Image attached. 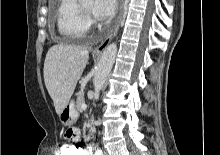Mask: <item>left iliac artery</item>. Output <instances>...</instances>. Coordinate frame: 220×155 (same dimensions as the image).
<instances>
[{
	"mask_svg": "<svg viewBox=\"0 0 220 155\" xmlns=\"http://www.w3.org/2000/svg\"><path fill=\"white\" fill-rule=\"evenodd\" d=\"M95 155H103L102 150L98 149Z\"/></svg>",
	"mask_w": 220,
	"mask_h": 155,
	"instance_id": "1",
	"label": "left iliac artery"
}]
</instances>
